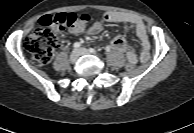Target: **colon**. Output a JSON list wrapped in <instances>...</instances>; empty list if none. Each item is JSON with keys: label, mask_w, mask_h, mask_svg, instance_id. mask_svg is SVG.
I'll return each instance as SVG.
<instances>
[{"label": "colon", "mask_w": 194, "mask_h": 133, "mask_svg": "<svg viewBox=\"0 0 194 133\" xmlns=\"http://www.w3.org/2000/svg\"><path fill=\"white\" fill-rule=\"evenodd\" d=\"M89 19V15L77 13H57L42 17L41 27L31 33L24 42L31 62L36 66L46 65L58 45L61 32L69 30L79 33ZM134 66L133 63H128L127 68L130 70Z\"/></svg>", "instance_id": "5ec220e1"}]
</instances>
